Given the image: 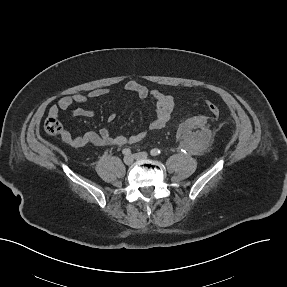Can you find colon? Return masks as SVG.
<instances>
[{
    "label": "colon",
    "instance_id": "1",
    "mask_svg": "<svg viewBox=\"0 0 287 287\" xmlns=\"http://www.w3.org/2000/svg\"><path fill=\"white\" fill-rule=\"evenodd\" d=\"M206 106L211 115L218 116L220 114V107L216 103L208 101ZM44 130L50 136H58L62 133L63 128L57 117L50 116L44 123Z\"/></svg>",
    "mask_w": 287,
    "mask_h": 287
}]
</instances>
